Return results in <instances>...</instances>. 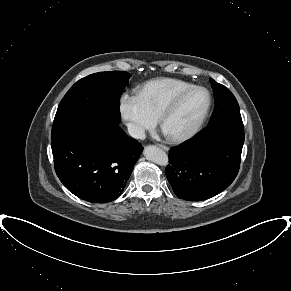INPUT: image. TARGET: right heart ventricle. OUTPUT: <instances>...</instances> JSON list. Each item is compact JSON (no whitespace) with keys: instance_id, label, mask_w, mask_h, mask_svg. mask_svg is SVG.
Listing matches in <instances>:
<instances>
[{"instance_id":"e07e8e85","label":"right heart ventricle","mask_w":291,"mask_h":291,"mask_svg":"<svg viewBox=\"0 0 291 291\" xmlns=\"http://www.w3.org/2000/svg\"><path fill=\"white\" fill-rule=\"evenodd\" d=\"M192 85L177 78H156L141 85L136 96L144 108L157 119L162 109L177 93Z\"/></svg>"}]
</instances>
